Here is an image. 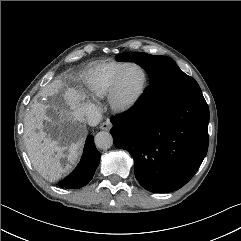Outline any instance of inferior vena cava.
<instances>
[{
    "label": "inferior vena cava",
    "instance_id": "602c4592",
    "mask_svg": "<svg viewBox=\"0 0 241 241\" xmlns=\"http://www.w3.org/2000/svg\"><path fill=\"white\" fill-rule=\"evenodd\" d=\"M83 116L89 124L98 123L101 119L99 108L94 104H88L82 108Z\"/></svg>",
    "mask_w": 241,
    "mask_h": 241
}]
</instances>
